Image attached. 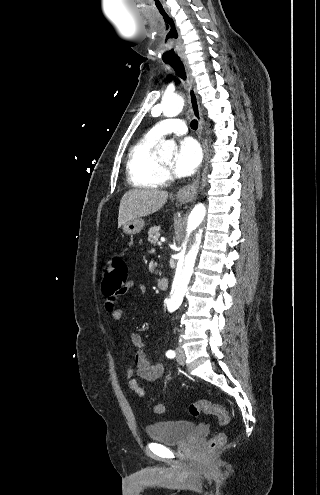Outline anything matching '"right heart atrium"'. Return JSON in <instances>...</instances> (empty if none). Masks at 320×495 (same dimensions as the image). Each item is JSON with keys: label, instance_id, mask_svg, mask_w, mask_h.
<instances>
[{"label": "right heart atrium", "instance_id": "1", "mask_svg": "<svg viewBox=\"0 0 320 495\" xmlns=\"http://www.w3.org/2000/svg\"><path fill=\"white\" fill-rule=\"evenodd\" d=\"M169 175L166 171H162V179L165 180V179H168Z\"/></svg>", "mask_w": 320, "mask_h": 495}]
</instances>
